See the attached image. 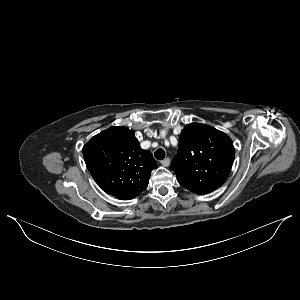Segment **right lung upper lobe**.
Returning a JSON list of instances; mask_svg holds the SVG:
<instances>
[{"label":"right lung upper lobe","mask_w":300,"mask_h":300,"mask_svg":"<svg viewBox=\"0 0 300 300\" xmlns=\"http://www.w3.org/2000/svg\"><path fill=\"white\" fill-rule=\"evenodd\" d=\"M86 166L100 188L117 199L130 200L148 186L157 163L148 150L140 148L134 132L111 127L83 147Z\"/></svg>","instance_id":"cb5924a9"}]
</instances>
